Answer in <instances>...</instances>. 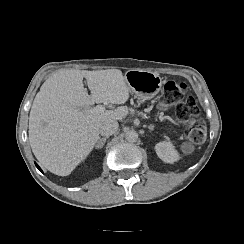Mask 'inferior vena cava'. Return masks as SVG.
I'll return each mask as SVG.
<instances>
[{
	"mask_svg": "<svg viewBox=\"0 0 244 244\" xmlns=\"http://www.w3.org/2000/svg\"><path fill=\"white\" fill-rule=\"evenodd\" d=\"M119 128V124L117 121L109 120L101 123L99 125V133L103 136L113 135Z\"/></svg>",
	"mask_w": 244,
	"mask_h": 244,
	"instance_id": "inferior-vena-cava-1",
	"label": "inferior vena cava"
}]
</instances>
